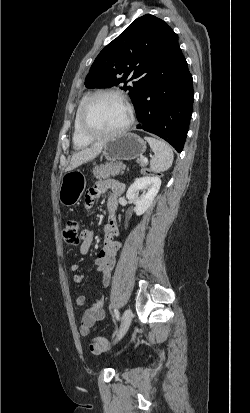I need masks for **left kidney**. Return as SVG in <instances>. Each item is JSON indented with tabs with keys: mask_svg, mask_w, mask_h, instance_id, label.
Returning a JSON list of instances; mask_svg holds the SVG:
<instances>
[{
	"mask_svg": "<svg viewBox=\"0 0 250 413\" xmlns=\"http://www.w3.org/2000/svg\"><path fill=\"white\" fill-rule=\"evenodd\" d=\"M161 179L158 176H145L136 179L128 188L126 197L135 204L137 216L144 214L159 192ZM139 191L142 195H138Z\"/></svg>",
	"mask_w": 250,
	"mask_h": 413,
	"instance_id": "obj_1",
	"label": "left kidney"
}]
</instances>
